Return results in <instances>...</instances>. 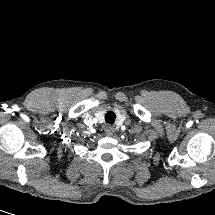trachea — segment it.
<instances>
[{
  "instance_id": "obj_1",
  "label": "trachea",
  "mask_w": 215,
  "mask_h": 215,
  "mask_svg": "<svg viewBox=\"0 0 215 215\" xmlns=\"http://www.w3.org/2000/svg\"><path fill=\"white\" fill-rule=\"evenodd\" d=\"M115 118H116V115H115V113L113 111H108L105 114L106 123L113 124L115 122Z\"/></svg>"
}]
</instances>
